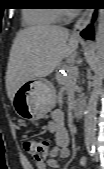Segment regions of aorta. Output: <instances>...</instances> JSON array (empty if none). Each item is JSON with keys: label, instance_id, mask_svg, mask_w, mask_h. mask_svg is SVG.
Segmentation results:
<instances>
[{"label": "aorta", "instance_id": "obj_1", "mask_svg": "<svg viewBox=\"0 0 104 169\" xmlns=\"http://www.w3.org/2000/svg\"><path fill=\"white\" fill-rule=\"evenodd\" d=\"M96 53L95 60V76L93 79V88L90 93L84 117V133L87 141L95 140V132L97 125V105L101 92V86L104 78L103 58H104V34L103 30H99L95 44Z\"/></svg>", "mask_w": 104, "mask_h": 169}]
</instances>
